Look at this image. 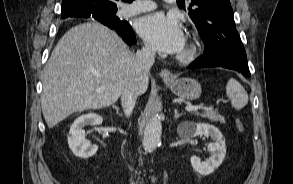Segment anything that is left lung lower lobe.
I'll return each mask as SVG.
<instances>
[{
	"label": "left lung lower lobe",
	"instance_id": "left-lung-lower-lobe-1",
	"mask_svg": "<svg viewBox=\"0 0 293 184\" xmlns=\"http://www.w3.org/2000/svg\"><path fill=\"white\" fill-rule=\"evenodd\" d=\"M218 66L250 76L245 49L238 32L221 36L215 49L205 51V54L194 61L190 68Z\"/></svg>",
	"mask_w": 293,
	"mask_h": 184
}]
</instances>
